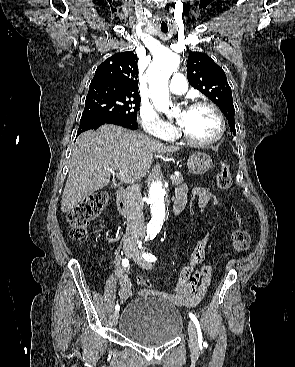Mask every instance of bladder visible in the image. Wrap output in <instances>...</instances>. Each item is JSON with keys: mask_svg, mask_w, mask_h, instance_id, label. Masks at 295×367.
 Masks as SVG:
<instances>
[{"mask_svg": "<svg viewBox=\"0 0 295 367\" xmlns=\"http://www.w3.org/2000/svg\"><path fill=\"white\" fill-rule=\"evenodd\" d=\"M121 333L145 347H155L174 340L183 329L179 309L169 301L145 296L131 300L119 321Z\"/></svg>", "mask_w": 295, "mask_h": 367, "instance_id": "obj_1", "label": "bladder"}]
</instances>
